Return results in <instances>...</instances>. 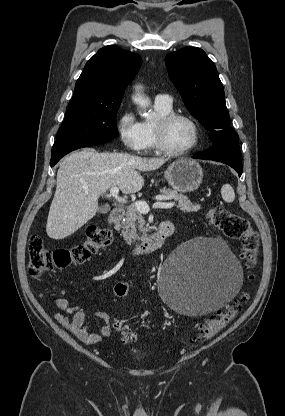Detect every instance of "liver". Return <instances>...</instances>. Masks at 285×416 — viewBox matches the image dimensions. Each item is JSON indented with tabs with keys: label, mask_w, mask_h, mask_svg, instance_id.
<instances>
[{
	"label": "liver",
	"mask_w": 285,
	"mask_h": 416,
	"mask_svg": "<svg viewBox=\"0 0 285 416\" xmlns=\"http://www.w3.org/2000/svg\"><path fill=\"white\" fill-rule=\"evenodd\" d=\"M166 158H138L130 154H99L93 148L72 152L60 164L46 232L64 240L96 216L98 198L119 186L122 194H136L144 186L139 172L158 170Z\"/></svg>",
	"instance_id": "obj_1"
}]
</instances>
